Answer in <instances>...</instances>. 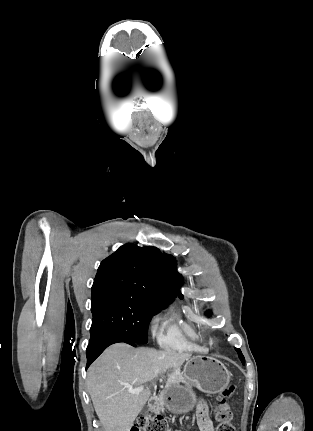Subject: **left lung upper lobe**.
Segmentation results:
<instances>
[{
    "instance_id": "obj_1",
    "label": "left lung upper lobe",
    "mask_w": 313,
    "mask_h": 431,
    "mask_svg": "<svg viewBox=\"0 0 313 431\" xmlns=\"http://www.w3.org/2000/svg\"><path fill=\"white\" fill-rule=\"evenodd\" d=\"M164 256H165V258H166V260H167V262L169 264L170 271H171V274H172V277H173V280H174V283H175V286H176L177 294H178L179 298L182 299L183 295L180 292V287L182 285L183 279H182V276L177 272L175 259L173 258V256L168 255V254H164ZM235 349H236V351L238 353V356H239L240 360L242 361V363L244 365L245 364V358H244L241 350L238 349V348H235Z\"/></svg>"
}]
</instances>
